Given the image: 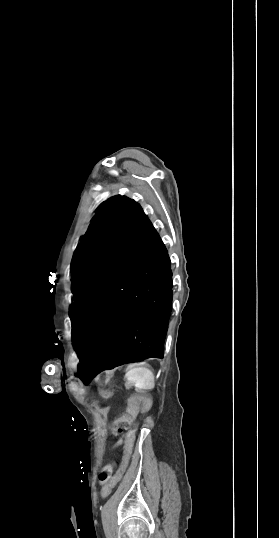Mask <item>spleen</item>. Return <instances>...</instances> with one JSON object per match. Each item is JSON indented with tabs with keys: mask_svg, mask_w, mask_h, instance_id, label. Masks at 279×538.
Instances as JSON below:
<instances>
[{
	"mask_svg": "<svg viewBox=\"0 0 279 538\" xmlns=\"http://www.w3.org/2000/svg\"><path fill=\"white\" fill-rule=\"evenodd\" d=\"M127 379L129 383L136 381L135 393L150 394L151 388H154V374L147 368H133V370L128 371Z\"/></svg>",
	"mask_w": 279,
	"mask_h": 538,
	"instance_id": "spleen-1",
	"label": "spleen"
}]
</instances>
